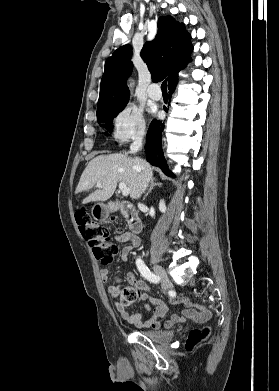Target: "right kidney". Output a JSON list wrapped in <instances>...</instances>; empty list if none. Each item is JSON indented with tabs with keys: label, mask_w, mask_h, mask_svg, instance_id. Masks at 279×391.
Wrapping results in <instances>:
<instances>
[{
	"label": "right kidney",
	"mask_w": 279,
	"mask_h": 391,
	"mask_svg": "<svg viewBox=\"0 0 279 391\" xmlns=\"http://www.w3.org/2000/svg\"><path fill=\"white\" fill-rule=\"evenodd\" d=\"M159 210H160L162 213H165V212H166V205H165L164 200H160V202H159Z\"/></svg>",
	"instance_id": "right-kidney-1"
}]
</instances>
